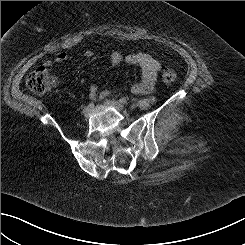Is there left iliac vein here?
<instances>
[{"instance_id":"obj_1","label":"left iliac vein","mask_w":245,"mask_h":245,"mask_svg":"<svg viewBox=\"0 0 245 245\" xmlns=\"http://www.w3.org/2000/svg\"><path fill=\"white\" fill-rule=\"evenodd\" d=\"M105 104L115 108L118 111H124L125 110L124 106L114 99H106Z\"/></svg>"}]
</instances>
